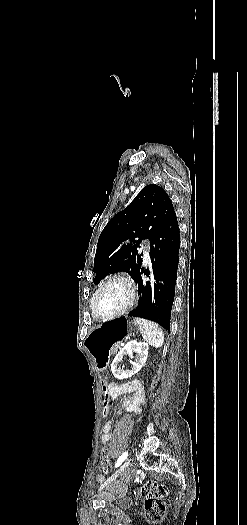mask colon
Masks as SVG:
<instances>
[{
  "mask_svg": "<svg viewBox=\"0 0 247 525\" xmlns=\"http://www.w3.org/2000/svg\"><path fill=\"white\" fill-rule=\"evenodd\" d=\"M101 386L102 388L107 389L109 388L110 383L109 381L104 380L102 381ZM102 398L105 400V402L101 404V409L104 412L101 415V418L103 420H106L108 418L107 414L110 412L112 405L107 400L109 398V395L107 393H104L102 395ZM111 462V453L108 450L102 451L101 466L105 471L109 469ZM139 492L144 499V518L152 524L160 523L165 518L166 509L168 505L167 487L158 484L156 481L149 480L143 482L140 485Z\"/></svg>",
  "mask_w": 247,
  "mask_h": 525,
  "instance_id": "colon-1",
  "label": "colon"
}]
</instances>
